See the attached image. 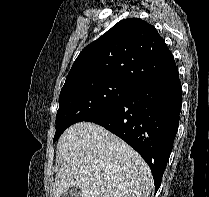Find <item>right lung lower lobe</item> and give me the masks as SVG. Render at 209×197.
Listing matches in <instances>:
<instances>
[{
	"mask_svg": "<svg viewBox=\"0 0 209 197\" xmlns=\"http://www.w3.org/2000/svg\"><path fill=\"white\" fill-rule=\"evenodd\" d=\"M181 105L182 87L175 64L85 121L105 127L134 148L148 163L156 192L173 147Z\"/></svg>",
	"mask_w": 209,
	"mask_h": 197,
	"instance_id": "obj_1",
	"label": "right lung lower lobe"
}]
</instances>
